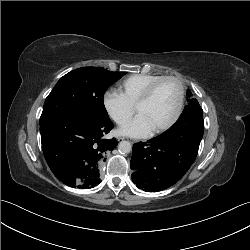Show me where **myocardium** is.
<instances>
[{
	"mask_svg": "<svg viewBox=\"0 0 250 250\" xmlns=\"http://www.w3.org/2000/svg\"><path fill=\"white\" fill-rule=\"evenodd\" d=\"M165 81H174L179 86V97H178L176 110H175L173 116L171 117V119L163 126L153 130L151 132V135H159V134H162V133L166 132L167 130H169L177 122V120L179 119L181 112H182L184 97H185V88H184L183 82L178 77H175V76H164V77L158 79L157 81L153 82L144 91V93L140 96V98L137 100V102L135 104V110L137 111V109L141 105L148 102L151 99V97L153 96V94L156 91V89L158 88V86L161 85Z\"/></svg>",
	"mask_w": 250,
	"mask_h": 250,
	"instance_id": "f54148a6",
	"label": "myocardium"
}]
</instances>
